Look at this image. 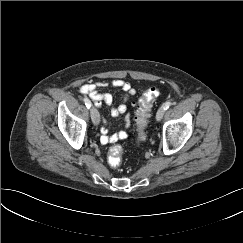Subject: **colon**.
<instances>
[{
	"label": "colon",
	"mask_w": 243,
	"mask_h": 243,
	"mask_svg": "<svg viewBox=\"0 0 243 243\" xmlns=\"http://www.w3.org/2000/svg\"><path fill=\"white\" fill-rule=\"evenodd\" d=\"M159 95V89L156 87H151L147 89L139 101L135 104L136 115L135 124L137 127L138 142L141 143L146 138L145 129L148 124V119L150 116V111L154 99ZM123 148L120 144H114L108 152V163L113 168H118L122 161Z\"/></svg>",
	"instance_id": "1"
}]
</instances>
